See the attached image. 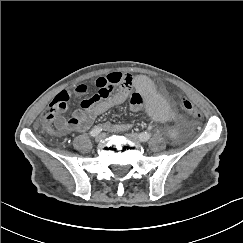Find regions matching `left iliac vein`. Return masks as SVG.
I'll return each instance as SVG.
<instances>
[{
  "instance_id": "4c4485c4",
  "label": "left iliac vein",
  "mask_w": 243,
  "mask_h": 243,
  "mask_svg": "<svg viewBox=\"0 0 243 243\" xmlns=\"http://www.w3.org/2000/svg\"><path fill=\"white\" fill-rule=\"evenodd\" d=\"M127 137H129L133 140H136V141H141L140 138H139V135L136 134V133H129V134H127Z\"/></svg>"
}]
</instances>
